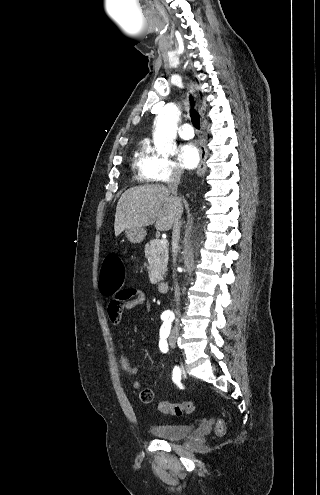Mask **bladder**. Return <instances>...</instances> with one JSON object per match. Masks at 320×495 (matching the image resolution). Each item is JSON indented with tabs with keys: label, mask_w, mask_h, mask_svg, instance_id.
<instances>
[{
	"label": "bladder",
	"mask_w": 320,
	"mask_h": 495,
	"mask_svg": "<svg viewBox=\"0 0 320 495\" xmlns=\"http://www.w3.org/2000/svg\"><path fill=\"white\" fill-rule=\"evenodd\" d=\"M193 430L190 424H153L150 433L158 438L179 440L188 436Z\"/></svg>",
	"instance_id": "bladder-1"
}]
</instances>
